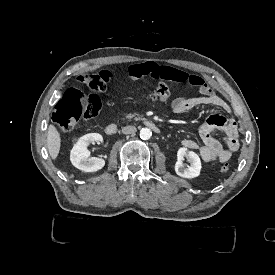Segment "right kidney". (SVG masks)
Masks as SVG:
<instances>
[{
	"mask_svg": "<svg viewBox=\"0 0 275 275\" xmlns=\"http://www.w3.org/2000/svg\"><path fill=\"white\" fill-rule=\"evenodd\" d=\"M95 141L102 142V135L99 133H89L76 140L70 152V161L73 166L84 172H95L104 167V159L97 157L89 158L90 151L87 147Z\"/></svg>",
	"mask_w": 275,
	"mask_h": 275,
	"instance_id": "obj_1",
	"label": "right kidney"
}]
</instances>
